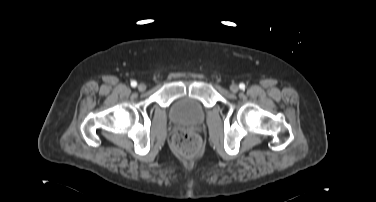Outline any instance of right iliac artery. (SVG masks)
<instances>
[{"mask_svg":"<svg viewBox=\"0 0 376 202\" xmlns=\"http://www.w3.org/2000/svg\"><path fill=\"white\" fill-rule=\"evenodd\" d=\"M131 86H132V87H136V86H137V82H136V81H134V80H133V81H131Z\"/></svg>","mask_w":376,"mask_h":202,"instance_id":"obj_1","label":"right iliac artery"}]
</instances>
